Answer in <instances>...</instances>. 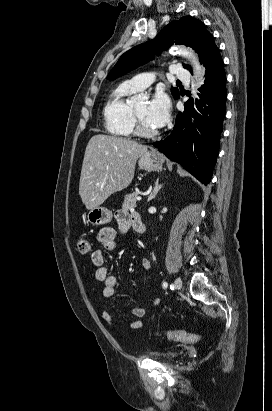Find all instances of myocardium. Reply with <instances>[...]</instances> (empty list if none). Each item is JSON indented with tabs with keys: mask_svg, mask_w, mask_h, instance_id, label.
I'll list each match as a JSON object with an SVG mask.
<instances>
[{
	"mask_svg": "<svg viewBox=\"0 0 272 411\" xmlns=\"http://www.w3.org/2000/svg\"><path fill=\"white\" fill-rule=\"evenodd\" d=\"M130 117H131V122H132V127H133V132L141 137H145V138H151V137H155L158 134V131L155 129H147L145 128L139 117L137 116L134 107L131 106L130 108Z\"/></svg>",
	"mask_w": 272,
	"mask_h": 411,
	"instance_id": "f54148a6",
	"label": "myocardium"
}]
</instances>
